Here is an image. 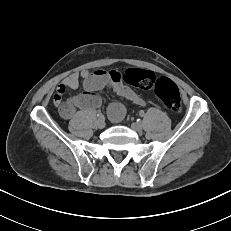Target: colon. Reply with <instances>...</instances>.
Instances as JSON below:
<instances>
[{
  "mask_svg": "<svg viewBox=\"0 0 231 231\" xmlns=\"http://www.w3.org/2000/svg\"><path fill=\"white\" fill-rule=\"evenodd\" d=\"M125 84L142 90H154L158 98L171 111H180L181 96L178 87L168 78L156 77L155 74L143 69H128L122 74Z\"/></svg>",
  "mask_w": 231,
  "mask_h": 231,
  "instance_id": "colon-1",
  "label": "colon"
}]
</instances>
